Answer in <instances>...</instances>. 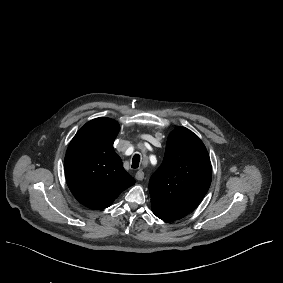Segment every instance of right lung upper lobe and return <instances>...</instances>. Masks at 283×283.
Wrapping results in <instances>:
<instances>
[{
	"mask_svg": "<svg viewBox=\"0 0 283 283\" xmlns=\"http://www.w3.org/2000/svg\"><path fill=\"white\" fill-rule=\"evenodd\" d=\"M120 130L110 118L86 123L74 136L65 156V176L75 198L91 209L109 207L135 179L125 171L113 149Z\"/></svg>",
	"mask_w": 283,
	"mask_h": 283,
	"instance_id": "obj_1",
	"label": "right lung upper lobe"
}]
</instances>
